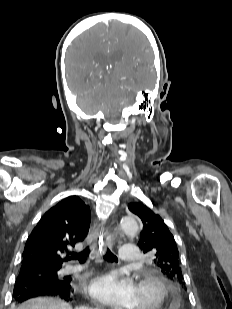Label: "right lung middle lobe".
<instances>
[{
  "mask_svg": "<svg viewBox=\"0 0 232 309\" xmlns=\"http://www.w3.org/2000/svg\"><path fill=\"white\" fill-rule=\"evenodd\" d=\"M58 270L51 272H44L42 274H19L18 278L24 280H30L34 283H43L45 285L55 284L57 282L63 281L65 278H60L57 274Z\"/></svg>",
  "mask_w": 232,
  "mask_h": 309,
  "instance_id": "obj_1",
  "label": "right lung middle lobe"
}]
</instances>
